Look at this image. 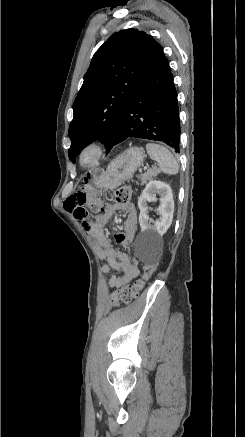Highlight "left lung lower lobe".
Returning <instances> with one entry per match:
<instances>
[{
  "mask_svg": "<svg viewBox=\"0 0 245 437\" xmlns=\"http://www.w3.org/2000/svg\"><path fill=\"white\" fill-rule=\"evenodd\" d=\"M129 137L161 141L179 152L177 91L161 46L126 102L112 147Z\"/></svg>",
  "mask_w": 245,
  "mask_h": 437,
  "instance_id": "0a47b994",
  "label": "left lung lower lobe"
}]
</instances>
